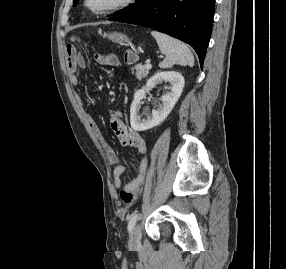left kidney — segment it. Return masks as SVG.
I'll return each instance as SVG.
<instances>
[{
	"label": "left kidney",
	"instance_id": "1",
	"mask_svg": "<svg viewBox=\"0 0 286 269\" xmlns=\"http://www.w3.org/2000/svg\"><path fill=\"white\" fill-rule=\"evenodd\" d=\"M168 82L170 91L161 97L162 105L158 109L152 110L151 115H147L146 119L141 120L138 115L139 105L145 97L146 90L154 88L157 84ZM183 76L175 71L158 72L152 76L146 83V87L138 90L134 95V100L130 108V124L135 131H145L159 125L164 121L176 102L184 88Z\"/></svg>",
	"mask_w": 286,
	"mask_h": 269
}]
</instances>
